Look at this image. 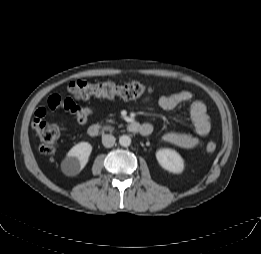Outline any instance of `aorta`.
Segmentation results:
<instances>
[{"label": "aorta", "instance_id": "obj_1", "mask_svg": "<svg viewBox=\"0 0 261 254\" xmlns=\"http://www.w3.org/2000/svg\"><path fill=\"white\" fill-rule=\"evenodd\" d=\"M119 144L123 147H128L131 144V138L127 135H122L119 138Z\"/></svg>", "mask_w": 261, "mask_h": 254}]
</instances>
